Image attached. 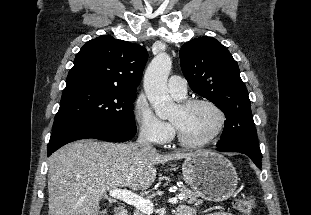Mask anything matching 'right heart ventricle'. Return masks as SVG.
Returning <instances> with one entry per match:
<instances>
[{
    "label": "right heart ventricle",
    "mask_w": 311,
    "mask_h": 215,
    "mask_svg": "<svg viewBox=\"0 0 311 215\" xmlns=\"http://www.w3.org/2000/svg\"><path fill=\"white\" fill-rule=\"evenodd\" d=\"M175 98H176V97H175ZM176 99H177V100H183L184 98H183V99L176 98Z\"/></svg>",
    "instance_id": "right-heart-ventricle-1"
}]
</instances>
